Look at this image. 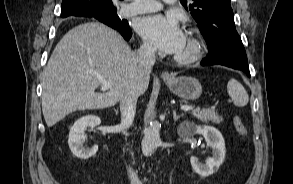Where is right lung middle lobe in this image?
Instances as JSON below:
<instances>
[{"label":"right lung middle lobe","instance_id":"dd1d6c3e","mask_svg":"<svg viewBox=\"0 0 293 184\" xmlns=\"http://www.w3.org/2000/svg\"><path fill=\"white\" fill-rule=\"evenodd\" d=\"M79 5L83 10L91 11L94 13H101L106 18L118 20L120 19L116 14V9L107 12L105 6L100 2L93 0H83L79 2Z\"/></svg>","mask_w":293,"mask_h":184}]
</instances>
